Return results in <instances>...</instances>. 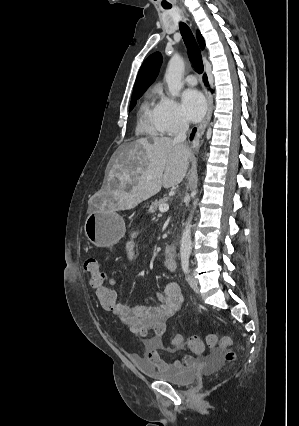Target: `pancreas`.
Instances as JSON below:
<instances>
[{
	"instance_id": "1",
	"label": "pancreas",
	"mask_w": 299,
	"mask_h": 426,
	"mask_svg": "<svg viewBox=\"0 0 299 426\" xmlns=\"http://www.w3.org/2000/svg\"><path fill=\"white\" fill-rule=\"evenodd\" d=\"M167 200L168 199L166 197H164V198H161L158 201L156 200V201L152 202L149 209H148V212L149 213H155L158 210L159 205L162 204V203H166Z\"/></svg>"
}]
</instances>
